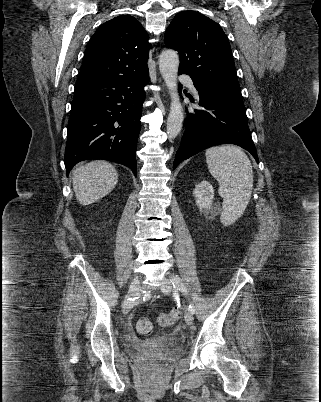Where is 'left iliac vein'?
I'll return each mask as SVG.
<instances>
[{"label": "left iliac vein", "mask_w": 321, "mask_h": 402, "mask_svg": "<svg viewBox=\"0 0 321 402\" xmlns=\"http://www.w3.org/2000/svg\"><path fill=\"white\" fill-rule=\"evenodd\" d=\"M161 291L165 294H170L173 290L172 283L169 279L165 278L160 287ZM194 320L193 314L190 311L185 312V321L192 324Z\"/></svg>", "instance_id": "4c4485c4"}]
</instances>
